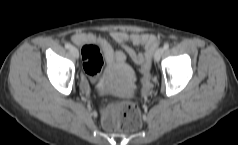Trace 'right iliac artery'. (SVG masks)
<instances>
[{
    "instance_id": "82829eb1",
    "label": "right iliac artery",
    "mask_w": 238,
    "mask_h": 145,
    "mask_svg": "<svg viewBox=\"0 0 238 145\" xmlns=\"http://www.w3.org/2000/svg\"><path fill=\"white\" fill-rule=\"evenodd\" d=\"M70 47H71V44L68 43V42H66V43H65V48H66V49H69Z\"/></svg>"
}]
</instances>
